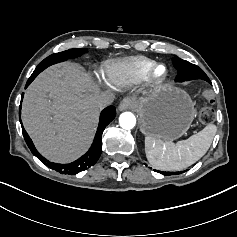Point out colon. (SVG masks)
Segmentation results:
<instances>
[{
  "label": "colon",
  "mask_w": 237,
  "mask_h": 237,
  "mask_svg": "<svg viewBox=\"0 0 237 237\" xmlns=\"http://www.w3.org/2000/svg\"><path fill=\"white\" fill-rule=\"evenodd\" d=\"M203 96L208 101L214 100V93L211 90H205ZM199 119L203 124H211L215 119V111L210 106H205L200 110Z\"/></svg>",
  "instance_id": "obj_1"
}]
</instances>
